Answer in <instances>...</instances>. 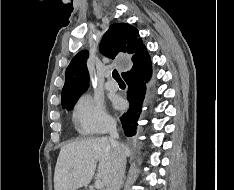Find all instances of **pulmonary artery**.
<instances>
[{
    "mask_svg": "<svg viewBox=\"0 0 234 190\" xmlns=\"http://www.w3.org/2000/svg\"><path fill=\"white\" fill-rule=\"evenodd\" d=\"M105 87L109 91H116L118 89V84L116 82L110 80V81L106 82Z\"/></svg>",
    "mask_w": 234,
    "mask_h": 190,
    "instance_id": "e3ab8cb5",
    "label": "pulmonary artery"
}]
</instances>
